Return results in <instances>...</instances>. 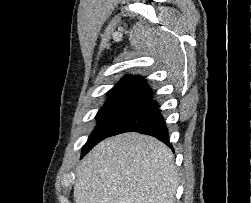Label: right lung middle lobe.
I'll return each mask as SVG.
<instances>
[{
	"instance_id": "1",
	"label": "right lung middle lobe",
	"mask_w": 251,
	"mask_h": 203,
	"mask_svg": "<svg viewBox=\"0 0 251 203\" xmlns=\"http://www.w3.org/2000/svg\"><path fill=\"white\" fill-rule=\"evenodd\" d=\"M142 112L141 109L129 107L101 108L96 115L98 124L82 148L81 158L101 140L109 137L119 126Z\"/></svg>"
}]
</instances>
